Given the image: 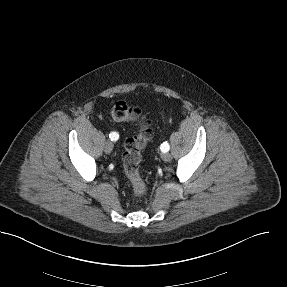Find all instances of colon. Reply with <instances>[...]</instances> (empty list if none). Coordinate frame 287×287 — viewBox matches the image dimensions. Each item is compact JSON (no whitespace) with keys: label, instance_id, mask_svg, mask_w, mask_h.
I'll return each instance as SVG.
<instances>
[{"label":"colon","instance_id":"1","mask_svg":"<svg viewBox=\"0 0 287 287\" xmlns=\"http://www.w3.org/2000/svg\"><path fill=\"white\" fill-rule=\"evenodd\" d=\"M111 117L121 122H137L138 132L125 142L123 153V166L136 196H142L147 186L140 174L142 150L151 139L153 130L151 122L138 107H133L124 101L116 102L111 109Z\"/></svg>","mask_w":287,"mask_h":287}]
</instances>
